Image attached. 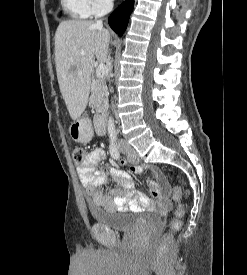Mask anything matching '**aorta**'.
<instances>
[{
	"instance_id": "1",
	"label": "aorta",
	"mask_w": 247,
	"mask_h": 275,
	"mask_svg": "<svg viewBox=\"0 0 247 275\" xmlns=\"http://www.w3.org/2000/svg\"><path fill=\"white\" fill-rule=\"evenodd\" d=\"M107 131L110 138L115 137L116 130H115L114 120L112 117H109L108 119Z\"/></svg>"
}]
</instances>
